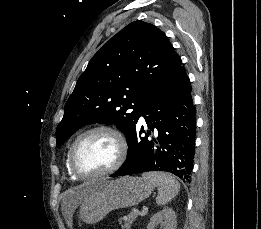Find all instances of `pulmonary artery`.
I'll return each instance as SVG.
<instances>
[{
  "label": "pulmonary artery",
  "instance_id": "pulmonary-artery-1",
  "mask_svg": "<svg viewBox=\"0 0 261 229\" xmlns=\"http://www.w3.org/2000/svg\"><path fill=\"white\" fill-rule=\"evenodd\" d=\"M145 104L147 103L146 101L144 102ZM139 124H145V119L143 116H140L139 120H138Z\"/></svg>",
  "mask_w": 261,
  "mask_h": 229
}]
</instances>
